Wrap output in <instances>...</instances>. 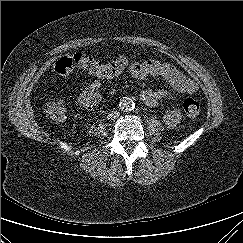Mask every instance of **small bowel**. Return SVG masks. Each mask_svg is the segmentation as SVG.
Returning <instances> with one entry per match:
<instances>
[{
	"instance_id": "c3829d8e",
	"label": "small bowel",
	"mask_w": 243,
	"mask_h": 243,
	"mask_svg": "<svg viewBox=\"0 0 243 243\" xmlns=\"http://www.w3.org/2000/svg\"><path fill=\"white\" fill-rule=\"evenodd\" d=\"M130 73L136 79L145 77H158L163 79L169 89L151 90L141 92V100L148 106L155 107L159 101L171 96L173 93L192 94L197 90L196 83L183 75L173 65L159 60L136 61L130 65ZM101 82L94 80L89 83L78 95L79 104L91 110L101 101ZM164 122L168 127H176L181 120L178 108L168 109L164 114Z\"/></svg>"
}]
</instances>
